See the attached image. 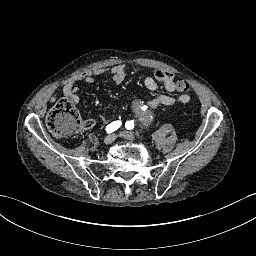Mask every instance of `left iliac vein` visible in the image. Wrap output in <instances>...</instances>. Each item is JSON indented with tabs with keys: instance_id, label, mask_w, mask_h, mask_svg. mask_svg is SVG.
Returning a JSON list of instances; mask_svg holds the SVG:
<instances>
[{
	"instance_id": "obj_1",
	"label": "left iliac vein",
	"mask_w": 256,
	"mask_h": 256,
	"mask_svg": "<svg viewBox=\"0 0 256 256\" xmlns=\"http://www.w3.org/2000/svg\"><path fill=\"white\" fill-rule=\"evenodd\" d=\"M119 135H120V137H122L124 139H134L133 134L128 131H122L119 133Z\"/></svg>"
}]
</instances>
